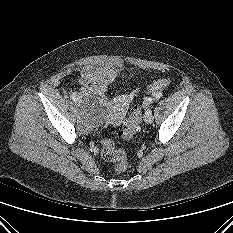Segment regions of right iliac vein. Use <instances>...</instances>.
<instances>
[{
    "mask_svg": "<svg viewBox=\"0 0 233 233\" xmlns=\"http://www.w3.org/2000/svg\"><path fill=\"white\" fill-rule=\"evenodd\" d=\"M77 105H78V107L80 106V102H79V101H78ZM79 111H80V110H79Z\"/></svg>",
    "mask_w": 233,
    "mask_h": 233,
    "instance_id": "right-iliac-vein-1",
    "label": "right iliac vein"
}]
</instances>
